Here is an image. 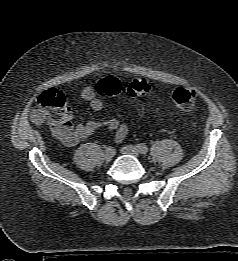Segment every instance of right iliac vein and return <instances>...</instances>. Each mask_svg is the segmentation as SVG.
Instances as JSON below:
<instances>
[{"instance_id": "obj_1", "label": "right iliac vein", "mask_w": 238, "mask_h": 261, "mask_svg": "<svg viewBox=\"0 0 238 261\" xmlns=\"http://www.w3.org/2000/svg\"><path fill=\"white\" fill-rule=\"evenodd\" d=\"M115 155V151H113L112 153H109L107 150L105 151V154H104V159L109 162L112 160V158L114 157Z\"/></svg>"}]
</instances>
